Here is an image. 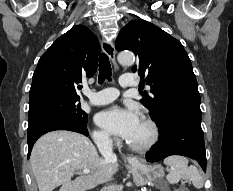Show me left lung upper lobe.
Returning <instances> with one entry per match:
<instances>
[{"instance_id": "obj_1", "label": "left lung upper lobe", "mask_w": 233, "mask_h": 191, "mask_svg": "<svg viewBox=\"0 0 233 191\" xmlns=\"http://www.w3.org/2000/svg\"><path fill=\"white\" fill-rule=\"evenodd\" d=\"M118 51L131 50L138 56L132 70L140 83L150 85L140 101L161 126L164 118L177 113L201 116L200 94L190 59L180 41L145 20H132L116 40Z\"/></svg>"}]
</instances>
